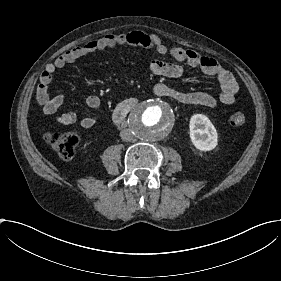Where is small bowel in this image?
Instances as JSON below:
<instances>
[{
  "label": "small bowel",
  "mask_w": 281,
  "mask_h": 281,
  "mask_svg": "<svg viewBox=\"0 0 281 281\" xmlns=\"http://www.w3.org/2000/svg\"><path fill=\"white\" fill-rule=\"evenodd\" d=\"M118 46L143 47L159 54L167 55L191 68H198L203 73L214 76L218 80L221 86L220 98L224 104L229 105L235 101L238 92L237 81L232 73L222 68L216 60L201 55L195 50L185 49L178 45L168 46L156 34L146 33L141 30H130L121 34L109 33L100 39L88 41L71 49L49 65L42 72L36 96L37 103L42 108L43 113L47 116L53 115L66 100L64 93H58L53 98H50L48 87L57 69L73 63L85 55ZM148 71L152 75L169 79H178L184 74V68L181 65L162 60L152 61L148 66ZM153 91L157 95L169 97L181 105H198L207 108H214L217 105V98L213 94L202 90H182L163 82H157L153 86ZM86 102L91 113L80 120V125L84 128H91L99 118L100 100L98 96L91 94L87 96ZM55 122L62 126L72 125L77 122V116L73 113L61 114L55 118Z\"/></svg>",
  "instance_id": "1"
}]
</instances>
